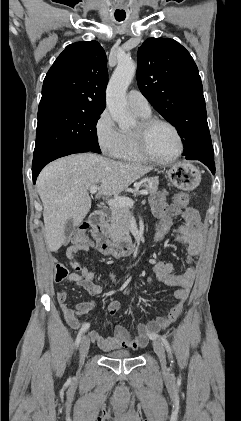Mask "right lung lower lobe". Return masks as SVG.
I'll return each mask as SVG.
<instances>
[{"mask_svg":"<svg viewBox=\"0 0 241 421\" xmlns=\"http://www.w3.org/2000/svg\"><path fill=\"white\" fill-rule=\"evenodd\" d=\"M82 152H89V150H86V149H69V150H64V151H60V152H56V153L47 155V156L39 158V159H33V163H32L33 183L35 184L38 174L40 173L42 168L45 165H47L49 162H51V161H53L57 158L63 157V156H67V155L75 154V153H82Z\"/></svg>","mask_w":241,"mask_h":421,"instance_id":"obj_1","label":"right lung lower lobe"}]
</instances>
